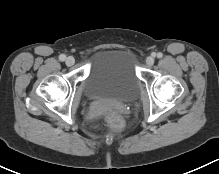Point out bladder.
I'll return each mask as SVG.
<instances>
[{"mask_svg": "<svg viewBox=\"0 0 219 174\" xmlns=\"http://www.w3.org/2000/svg\"><path fill=\"white\" fill-rule=\"evenodd\" d=\"M140 78L133 53L126 49H103L94 54L85 78L84 94L91 100L128 102L138 92Z\"/></svg>", "mask_w": 219, "mask_h": 174, "instance_id": "31cf9c89", "label": "bladder"}]
</instances>
